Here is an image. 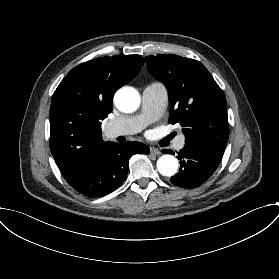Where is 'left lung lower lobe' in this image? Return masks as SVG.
Instances as JSON below:
<instances>
[{"label": "left lung lower lobe", "mask_w": 279, "mask_h": 279, "mask_svg": "<svg viewBox=\"0 0 279 279\" xmlns=\"http://www.w3.org/2000/svg\"><path fill=\"white\" fill-rule=\"evenodd\" d=\"M223 151L207 144H185L177 156L180 160L179 173L171 177V183L182 188L201 185L217 169ZM163 152L170 153L169 150Z\"/></svg>", "instance_id": "obj_1"}]
</instances>
